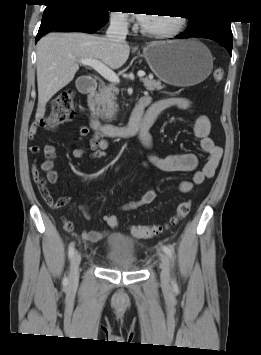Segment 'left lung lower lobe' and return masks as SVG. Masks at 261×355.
Segmentation results:
<instances>
[{
	"instance_id": "0a47b994",
	"label": "left lung lower lobe",
	"mask_w": 261,
	"mask_h": 355,
	"mask_svg": "<svg viewBox=\"0 0 261 355\" xmlns=\"http://www.w3.org/2000/svg\"><path fill=\"white\" fill-rule=\"evenodd\" d=\"M189 37H202L211 39L221 45H223L231 54L233 35L230 26L215 24L204 28L198 33L185 32L183 35H178L176 38H189Z\"/></svg>"
}]
</instances>
